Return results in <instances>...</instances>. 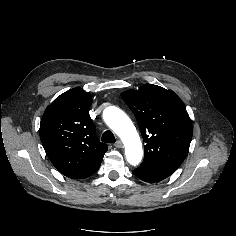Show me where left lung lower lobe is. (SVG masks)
Wrapping results in <instances>:
<instances>
[{"label":"left lung lower lobe","instance_id":"1","mask_svg":"<svg viewBox=\"0 0 236 236\" xmlns=\"http://www.w3.org/2000/svg\"><path fill=\"white\" fill-rule=\"evenodd\" d=\"M143 181L149 183H156L166 179L168 176L154 171L149 165L141 164L138 168L133 171Z\"/></svg>","mask_w":236,"mask_h":236}]
</instances>
